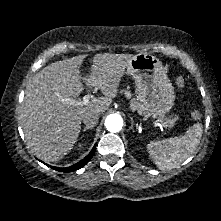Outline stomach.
Here are the masks:
<instances>
[{
    "label": "stomach",
    "instance_id": "0dacf381",
    "mask_svg": "<svg viewBox=\"0 0 221 221\" xmlns=\"http://www.w3.org/2000/svg\"><path fill=\"white\" fill-rule=\"evenodd\" d=\"M127 73L135 80L138 99L150 115L161 118L172 109L174 87L158 58L136 54L129 62Z\"/></svg>",
    "mask_w": 221,
    "mask_h": 221
}]
</instances>
